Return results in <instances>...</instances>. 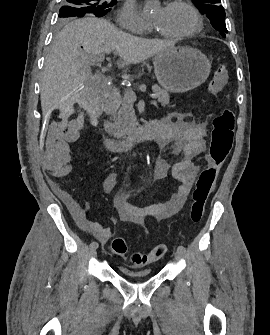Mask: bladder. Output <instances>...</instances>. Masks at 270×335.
Returning a JSON list of instances; mask_svg holds the SVG:
<instances>
[{"label":"bladder","instance_id":"31cf9c89","mask_svg":"<svg viewBox=\"0 0 270 335\" xmlns=\"http://www.w3.org/2000/svg\"><path fill=\"white\" fill-rule=\"evenodd\" d=\"M124 273H126L131 279H146L153 276V270H146L140 274L130 271H126Z\"/></svg>","mask_w":270,"mask_h":335}]
</instances>
